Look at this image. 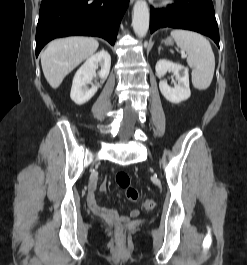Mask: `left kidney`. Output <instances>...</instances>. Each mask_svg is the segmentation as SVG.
<instances>
[{"instance_id": "5707ae66", "label": "left kidney", "mask_w": 247, "mask_h": 265, "mask_svg": "<svg viewBox=\"0 0 247 265\" xmlns=\"http://www.w3.org/2000/svg\"><path fill=\"white\" fill-rule=\"evenodd\" d=\"M155 70L159 77H163L167 71H172L178 82L174 87L169 86L166 81L162 80L159 82L160 91L168 101L177 104L190 97L191 91L187 68L171 61L159 60L156 64Z\"/></svg>"}]
</instances>
